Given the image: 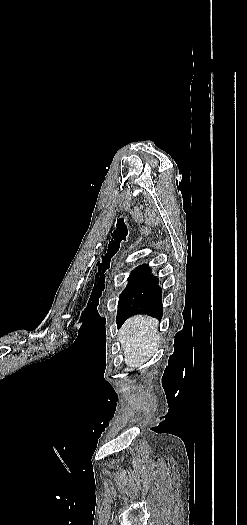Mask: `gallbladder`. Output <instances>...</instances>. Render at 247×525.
Returning a JSON list of instances; mask_svg holds the SVG:
<instances>
[{
    "mask_svg": "<svg viewBox=\"0 0 247 525\" xmlns=\"http://www.w3.org/2000/svg\"><path fill=\"white\" fill-rule=\"evenodd\" d=\"M124 372H127V369H124Z\"/></svg>",
    "mask_w": 247,
    "mask_h": 525,
    "instance_id": "gallbladder-1",
    "label": "gallbladder"
}]
</instances>
